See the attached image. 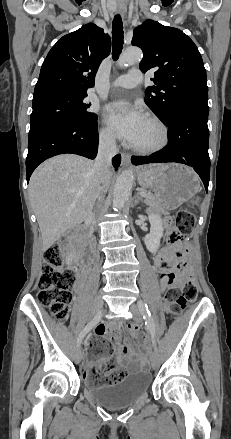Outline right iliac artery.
<instances>
[{
	"label": "right iliac artery",
	"mask_w": 231,
	"mask_h": 439,
	"mask_svg": "<svg viewBox=\"0 0 231 439\" xmlns=\"http://www.w3.org/2000/svg\"><path fill=\"white\" fill-rule=\"evenodd\" d=\"M99 321L96 319H93L91 322H89L85 328L81 331L77 338V346H79L85 337V335L98 323Z\"/></svg>",
	"instance_id": "right-iliac-artery-1"
}]
</instances>
